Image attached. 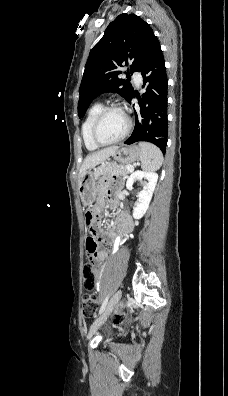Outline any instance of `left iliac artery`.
<instances>
[{"label":"left iliac artery","mask_w":228,"mask_h":396,"mask_svg":"<svg viewBox=\"0 0 228 396\" xmlns=\"http://www.w3.org/2000/svg\"><path fill=\"white\" fill-rule=\"evenodd\" d=\"M108 299H109V297L107 296V297L105 298V300L103 301V303H102V305H101V308H100V311H99V314H101V313L104 312V310H105V308H106V306H107V304H108Z\"/></svg>","instance_id":"left-iliac-artery-1"}]
</instances>
